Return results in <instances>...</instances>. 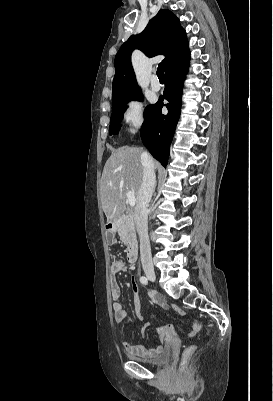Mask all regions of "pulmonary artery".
Segmentation results:
<instances>
[{"mask_svg":"<svg viewBox=\"0 0 273 401\" xmlns=\"http://www.w3.org/2000/svg\"><path fill=\"white\" fill-rule=\"evenodd\" d=\"M152 86H153L152 90H154V91H158L160 89V88H157L159 86V83L157 81H154L152 83Z\"/></svg>","mask_w":273,"mask_h":401,"instance_id":"pulmonary-artery-1","label":"pulmonary artery"}]
</instances>
